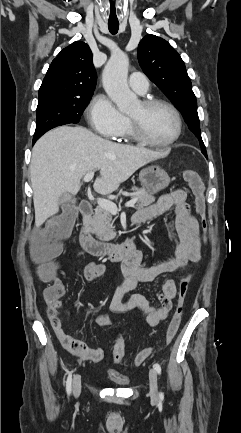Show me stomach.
I'll return each mask as SVG.
<instances>
[{
	"label": "stomach",
	"mask_w": 241,
	"mask_h": 433,
	"mask_svg": "<svg viewBox=\"0 0 241 433\" xmlns=\"http://www.w3.org/2000/svg\"><path fill=\"white\" fill-rule=\"evenodd\" d=\"M139 180L142 187L150 194H156L170 184L168 173L157 165H152L140 171Z\"/></svg>",
	"instance_id": "0dacf381"
}]
</instances>
